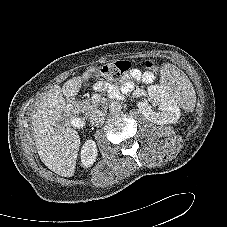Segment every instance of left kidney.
<instances>
[{"label":"left kidney","instance_id":"1","mask_svg":"<svg viewBox=\"0 0 227 227\" xmlns=\"http://www.w3.org/2000/svg\"><path fill=\"white\" fill-rule=\"evenodd\" d=\"M147 91L149 98L157 103L159 111H154L147 101H139L138 109L146 119L158 125L177 122L180 108L171 95L159 85H151Z\"/></svg>","mask_w":227,"mask_h":227}]
</instances>
